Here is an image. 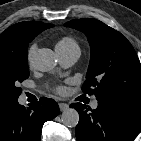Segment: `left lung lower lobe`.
I'll return each instance as SVG.
<instances>
[{"label": "left lung lower lobe", "mask_w": 141, "mask_h": 141, "mask_svg": "<svg viewBox=\"0 0 141 141\" xmlns=\"http://www.w3.org/2000/svg\"><path fill=\"white\" fill-rule=\"evenodd\" d=\"M70 107L79 113L78 141H133L141 130V105L102 100L95 110L81 103Z\"/></svg>", "instance_id": "1"}]
</instances>
